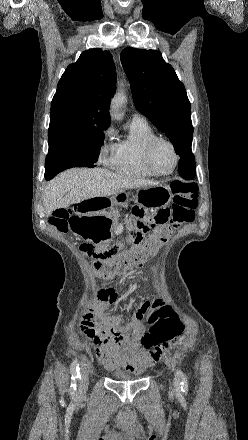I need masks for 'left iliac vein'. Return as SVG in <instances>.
<instances>
[{"instance_id": "4c4485c4", "label": "left iliac vein", "mask_w": 248, "mask_h": 440, "mask_svg": "<svg viewBox=\"0 0 248 440\" xmlns=\"http://www.w3.org/2000/svg\"><path fill=\"white\" fill-rule=\"evenodd\" d=\"M175 387H177V385H176V384L174 385L173 383L170 382V387H169V389H170V392H171V393H174V391H175Z\"/></svg>"}]
</instances>
